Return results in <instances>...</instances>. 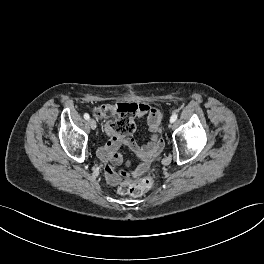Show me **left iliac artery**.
I'll return each mask as SVG.
<instances>
[{
	"instance_id": "44dca946",
	"label": "left iliac artery",
	"mask_w": 264,
	"mask_h": 264,
	"mask_svg": "<svg viewBox=\"0 0 264 264\" xmlns=\"http://www.w3.org/2000/svg\"><path fill=\"white\" fill-rule=\"evenodd\" d=\"M177 113L176 112H174L173 114H172V116H171V118H170V122H175L176 121V119H177Z\"/></svg>"
}]
</instances>
